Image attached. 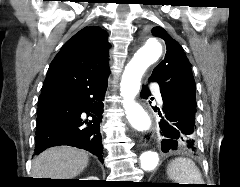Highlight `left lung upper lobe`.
<instances>
[{"mask_svg":"<svg viewBox=\"0 0 240 187\" xmlns=\"http://www.w3.org/2000/svg\"><path fill=\"white\" fill-rule=\"evenodd\" d=\"M152 33L165 41L167 51L164 60L154 68L149 80L159 83L161 92L196 107L195 81L182 47L162 27H154Z\"/></svg>","mask_w":240,"mask_h":187,"instance_id":"obj_1","label":"left lung upper lobe"}]
</instances>
